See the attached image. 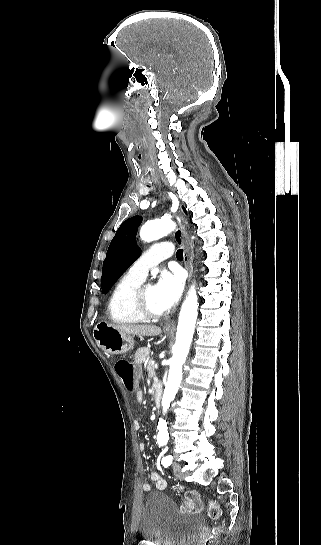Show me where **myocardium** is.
<instances>
[{"mask_svg":"<svg viewBox=\"0 0 321 545\" xmlns=\"http://www.w3.org/2000/svg\"><path fill=\"white\" fill-rule=\"evenodd\" d=\"M148 284L141 283L133 291L131 295L132 311L143 318L144 320H157L165 315V313H156L147 309L143 303L142 294Z\"/></svg>","mask_w":321,"mask_h":545,"instance_id":"1","label":"myocardium"}]
</instances>
